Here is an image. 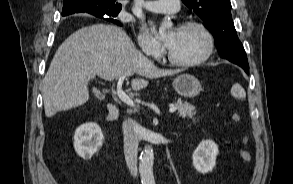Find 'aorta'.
I'll use <instances>...</instances> for the list:
<instances>
[{
  "instance_id": "1",
  "label": "aorta",
  "mask_w": 293,
  "mask_h": 184,
  "mask_svg": "<svg viewBox=\"0 0 293 184\" xmlns=\"http://www.w3.org/2000/svg\"><path fill=\"white\" fill-rule=\"evenodd\" d=\"M172 26L171 21L164 19L161 23L160 29H167ZM153 161L154 152L151 146H146L141 153L139 172L141 176L142 184H155V179L153 175Z\"/></svg>"
}]
</instances>
